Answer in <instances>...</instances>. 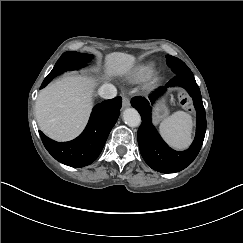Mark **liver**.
I'll use <instances>...</instances> for the list:
<instances>
[{
	"mask_svg": "<svg viewBox=\"0 0 243 243\" xmlns=\"http://www.w3.org/2000/svg\"><path fill=\"white\" fill-rule=\"evenodd\" d=\"M133 55L114 52L106 56V76L130 73ZM95 81L81 75L66 74L42 89L35 104L41 131L56 141H69L84 129L93 107Z\"/></svg>",
	"mask_w": 243,
	"mask_h": 243,
	"instance_id": "6515ba94",
	"label": "liver"
}]
</instances>
